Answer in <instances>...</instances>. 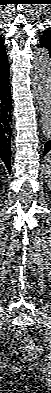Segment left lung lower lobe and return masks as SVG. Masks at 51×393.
I'll list each match as a JSON object with an SVG mask.
<instances>
[{
	"instance_id": "0a47b994",
	"label": "left lung lower lobe",
	"mask_w": 51,
	"mask_h": 393,
	"mask_svg": "<svg viewBox=\"0 0 51 393\" xmlns=\"http://www.w3.org/2000/svg\"><path fill=\"white\" fill-rule=\"evenodd\" d=\"M50 150H51V140L48 141V142L45 144L43 155H45L46 153H48Z\"/></svg>"
}]
</instances>
